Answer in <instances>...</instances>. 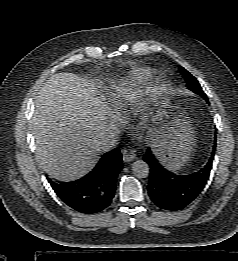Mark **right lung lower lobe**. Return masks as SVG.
Masks as SVG:
<instances>
[{"mask_svg": "<svg viewBox=\"0 0 238 261\" xmlns=\"http://www.w3.org/2000/svg\"><path fill=\"white\" fill-rule=\"evenodd\" d=\"M122 165V155L116 148L102 155L96 166L76 181H48L58 197L72 209L83 214L99 213L113 200Z\"/></svg>", "mask_w": 238, "mask_h": 261, "instance_id": "obj_1", "label": "right lung lower lobe"}]
</instances>
